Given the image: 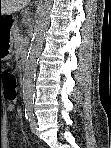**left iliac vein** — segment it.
Here are the masks:
<instances>
[{
    "label": "left iliac vein",
    "instance_id": "left-iliac-vein-1",
    "mask_svg": "<svg viewBox=\"0 0 111 148\" xmlns=\"http://www.w3.org/2000/svg\"><path fill=\"white\" fill-rule=\"evenodd\" d=\"M37 122L35 119H32L30 122V129L33 133H36Z\"/></svg>",
    "mask_w": 111,
    "mask_h": 148
}]
</instances>
